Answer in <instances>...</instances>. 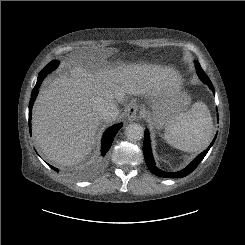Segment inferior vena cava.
Here are the masks:
<instances>
[{
  "label": "inferior vena cava",
  "mask_w": 245,
  "mask_h": 245,
  "mask_svg": "<svg viewBox=\"0 0 245 245\" xmlns=\"http://www.w3.org/2000/svg\"><path fill=\"white\" fill-rule=\"evenodd\" d=\"M96 109L99 117L105 122H111L116 120L119 109L117 105L113 102H109L105 99H99L96 104Z\"/></svg>",
  "instance_id": "obj_1"
}]
</instances>
